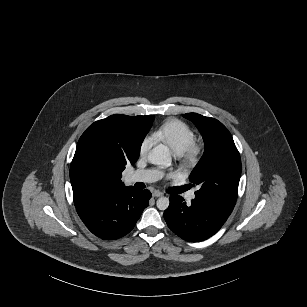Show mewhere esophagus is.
I'll list each match as a JSON object with an SVG mask.
<instances>
[{
	"instance_id": "1",
	"label": "esophagus",
	"mask_w": 307,
	"mask_h": 307,
	"mask_svg": "<svg viewBox=\"0 0 307 307\" xmlns=\"http://www.w3.org/2000/svg\"><path fill=\"white\" fill-rule=\"evenodd\" d=\"M163 195L162 192L158 191V190H155L153 193H152V196L153 197H161Z\"/></svg>"
}]
</instances>
